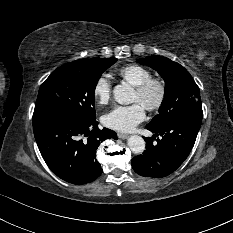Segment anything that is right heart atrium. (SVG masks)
<instances>
[{
	"label": "right heart atrium",
	"mask_w": 233,
	"mask_h": 233,
	"mask_svg": "<svg viewBox=\"0 0 233 233\" xmlns=\"http://www.w3.org/2000/svg\"><path fill=\"white\" fill-rule=\"evenodd\" d=\"M112 83L105 75L98 77L93 86V96L101 104H106L111 97Z\"/></svg>",
	"instance_id": "obj_1"
}]
</instances>
